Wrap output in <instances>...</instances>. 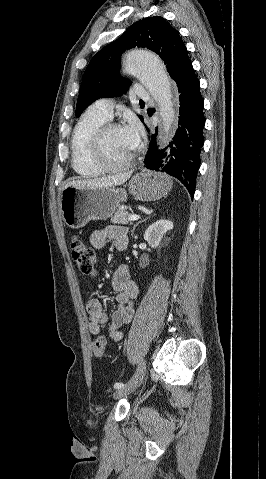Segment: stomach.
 Wrapping results in <instances>:
<instances>
[{
  "label": "stomach",
  "mask_w": 266,
  "mask_h": 479,
  "mask_svg": "<svg viewBox=\"0 0 266 479\" xmlns=\"http://www.w3.org/2000/svg\"><path fill=\"white\" fill-rule=\"evenodd\" d=\"M128 187L137 200L153 201L168 194L172 181L166 175L144 171L133 176ZM126 199L125 189H77L70 186L62 191L60 210L64 223L70 228L78 229L91 220H106L111 217Z\"/></svg>",
  "instance_id": "1"
}]
</instances>
